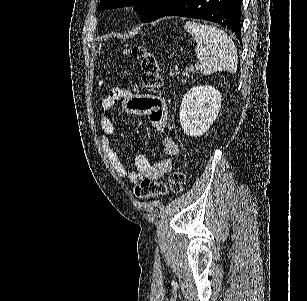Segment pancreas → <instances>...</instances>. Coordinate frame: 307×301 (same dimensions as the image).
<instances>
[{
	"label": "pancreas",
	"instance_id": "obj_1",
	"mask_svg": "<svg viewBox=\"0 0 307 301\" xmlns=\"http://www.w3.org/2000/svg\"><path fill=\"white\" fill-rule=\"evenodd\" d=\"M189 72H193L191 68H187L185 72H178V74H182V76H190ZM178 80H181L182 84H186L187 80L186 78H178Z\"/></svg>",
	"mask_w": 307,
	"mask_h": 301
}]
</instances>
